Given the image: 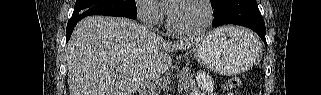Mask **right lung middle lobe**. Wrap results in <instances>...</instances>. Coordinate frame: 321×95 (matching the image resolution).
I'll list each match as a JSON object with an SVG mask.
<instances>
[{
  "instance_id": "1",
  "label": "right lung middle lobe",
  "mask_w": 321,
  "mask_h": 95,
  "mask_svg": "<svg viewBox=\"0 0 321 95\" xmlns=\"http://www.w3.org/2000/svg\"><path fill=\"white\" fill-rule=\"evenodd\" d=\"M89 15L137 17L135 0H76L73 17Z\"/></svg>"
}]
</instances>
